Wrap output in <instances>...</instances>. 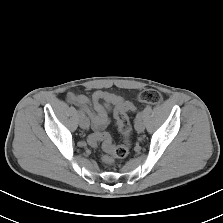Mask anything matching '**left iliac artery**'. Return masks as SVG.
<instances>
[{"instance_id": "left-iliac-artery-1", "label": "left iliac artery", "mask_w": 223, "mask_h": 223, "mask_svg": "<svg viewBox=\"0 0 223 223\" xmlns=\"http://www.w3.org/2000/svg\"><path fill=\"white\" fill-rule=\"evenodd\" d=\"M143 117V113L142 112H138L136 115V119H142Z\"/></svg>"}]
</instances>
